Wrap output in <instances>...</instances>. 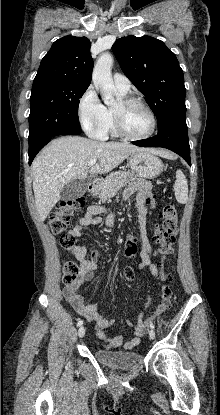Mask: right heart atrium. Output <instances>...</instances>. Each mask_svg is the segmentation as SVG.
<instances>
[{
    "instance_id": "d8ad5b80",
    "label": "right heart atrium",
    "mask_w": 220,
    "mask_h": 415,
    "mask_svg": "<svg viewBox=\"0 0 220 415\" xmlns=\"http://www.w3.org/2000/svg\"><path fill=\"white\" fill-rule=\"evenodd\" d=\"M78 117L83 130L94 139H101L108 121L107 108L93 86H89L78 102Z\"/></svg>"
}]
</instances>
